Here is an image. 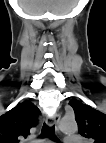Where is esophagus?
<instances>
[{
    "mask_svg": "<svg viewBox=\"0 0 106 143\" xmlns=\"http://www.w3.org/2000/svg\"><path fill=\"white\" fill-rule=\"evenodd\" d=\"M59 120H60V114L56 113L52 119H47V125L50 127L55 126V129L58 131Z\"/></svg>",
    "mask_w": 106,
    "mask_h": 143,
    "instance_id": "obj_1",
    "label": "esophagus"
}]
</instances>
